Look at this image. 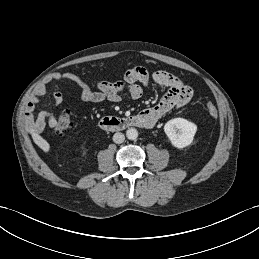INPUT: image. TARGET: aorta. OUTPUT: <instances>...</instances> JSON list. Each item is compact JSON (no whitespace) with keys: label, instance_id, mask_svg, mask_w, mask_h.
Listing matches in <instances>:
<instances>
[{"label":"aorta","instance_id":"obj_1","mask_svg":"<svg viewBox=\"0 0 259 259\" xmlns=\"http://www.w3.org/2000/svg\"><path fill=\"white\" fill-rule=\"evenodd\" d=\"M126 137H127L129 140H135V139H137V137H138V131H137L135 128H129V129L126 131Z\"/></svg>","mask_w":259,"mask_h":259}]
</instances>
